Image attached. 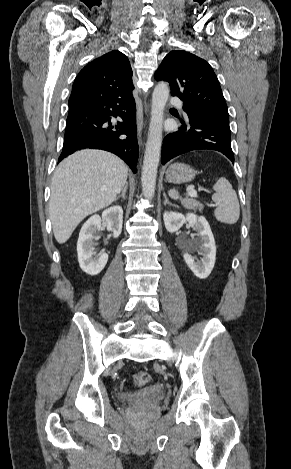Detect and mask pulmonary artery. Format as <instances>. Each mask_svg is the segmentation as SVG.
<instances>
[{"label": "pulmonary artery", "mask_w": 291, "mask_h": 469, "mask_svg": "<svg viewBox=\"0 0 291 469\" xmlns=\"http://www.w3.org/2000/svg\"><path fill=\"white\" fill-rule=\"evenodd\" d=\"M170 103L174 106H177V107H182L183 106L182 101L178 97H172L170 99Z\"/></svg>", "instance_id": "obj_1"}]
</instances>
